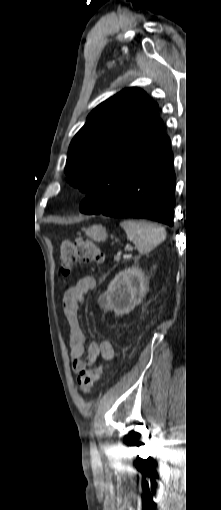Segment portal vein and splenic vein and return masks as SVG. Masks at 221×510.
Wrapping results in <instances>:
<instances>
[{
	"instance_id": "obj_1",
	"label": "portal vein and splenic vein",
	"mask_w": 221,
	"mask_h": 510,
	"mask_svg": "<svg viewBox=\"0 0 221 510\" xmlns=\"http://www.w3.org/2000/svg\"><path fill=\"white\" fill-rule=\"evenodd\" d=\"M120 258H121V257H120V255H116V256L114 257V260H115V261H119V260H120Z\"/></svg>"
}]
</instances>
